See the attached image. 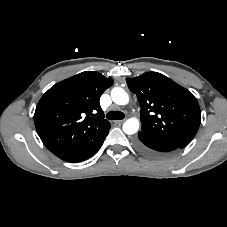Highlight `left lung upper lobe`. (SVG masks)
Instances as JSON below:
<instances>
[{
  "label": "left lung upper lobe",
  "mask_w": 227,
  "mask_h": 227,
  "mask_svg": "<svg viewBox=\"0 0 227 227\" xmlns=\"http://www.w3.org/2000/svg\"><path fill=\"white\" fill-rule=\"evenodd\" d=\"M137 95L142 135L184 148L194 138L201 119L197 99L185 88L157 72L126 78Z\"/></svg>",
  "instance_id": "1"
}]
</instances>
